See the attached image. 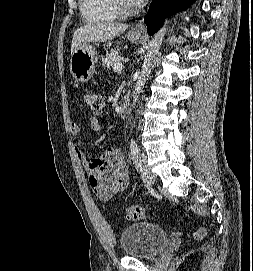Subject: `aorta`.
<instances>
[{
    "label": "aorta",
    "mask_w": 253,
    "mask_h": 271,
    "mask_svg": "<svg viewBox=\"0 0 253 271\" xmlns=\"http://www.w3.org/2000/svg\"><path fill=\"white\" fill-rule=\"evenodd\" d=\"M168 19H165L164 25L154 34L152 40L149 43V49L145 55L144 62L142 65L141 72L138 76L136 86L133 92L132 107L136 105L139 95L144 87L148 76L150 75L151 69L154 65L155 58L159 53V49L163 43L166 30H167Z\"/></svg>",
    "instance_id": "762f6f07"
}]
</instances>
